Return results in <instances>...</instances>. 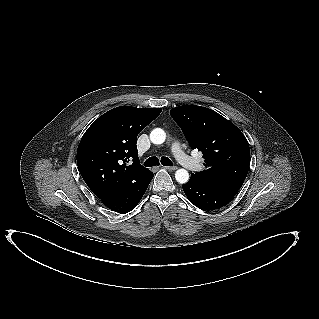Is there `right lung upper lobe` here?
I'll use <instances>...</instances> for the list:
<instances>
[{"label":"right lung upper lobe","mask_w":319,"mask_h":319,"mask_svg":"<svg viewBox=\"0 0 319 319\" xmlns=\"http://www.w3.org/2000/svg\"><path fill=\"white\" fill-rule=\"evenodd\" d=\"M161 108L121 106L100 116L84 133L77 149L82 178L99 198L105 199L148 169L139 163L137 135ZM132 160L131 165L126 163Z\"/></svg>","instance_id":"obj_1"}]
</instances>
